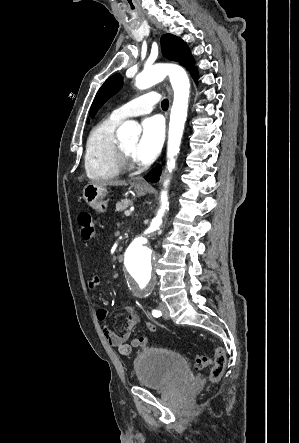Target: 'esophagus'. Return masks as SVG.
I'll use <instances>...</instances> for the list:
<instances>
[{"instance_id":"1","label":"esophagus","mask_w":299,"mask_h":443,"mask_svg":"<svg viewBox=\"0 0 299 443\" xmlns=\"http://www.w3.org/2000/svg\"><path fill=\"white\" fill-rule=\"evenodd\" d=\"M165 87H166V90L168 91V93L170 94V93H171V89H170V87H169L168 85H165ZM137 185H140V186H148V184H147L143 179H139V180L137 181Z\"/></svg>"}]
</instances>
